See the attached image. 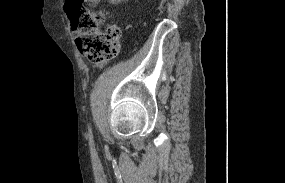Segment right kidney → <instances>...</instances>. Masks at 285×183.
Wrapping results in <instances>:
<instances>
[{
  "mask_svg": "<svg viewBox=\"0 0 285 183\" xmlns=\"http://www.w3.org/2000/svg\"><path fill=\"white\" fill-rule=\"evenodd\" d=\"M122 1H125V0H110V2L112 4H118V3L122 2Z\"/></svg>",
  "mask_w": 285,
  "mask_h": 183,
  "instance_id": "obj_1",
  "label": "right kidney"
}]
</instances>
